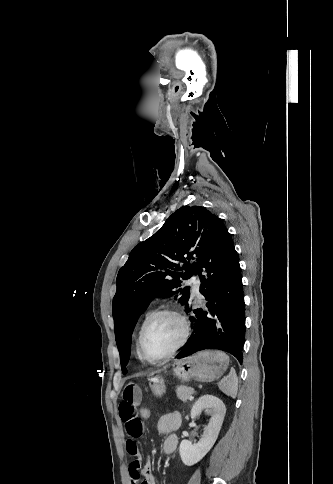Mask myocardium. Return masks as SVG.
Instances as JSON below:
<instances>
[{
  "mask_svg": "<svg viewBox=\"0 0 333 484\" xmlns=\"http://www.w3.org/2000/svg\"><path fill=\"white\" fill-rule=\"evenodd\" d=\"M162 316H173V317L177 318L182 325V330H183L182 336H181L180 340L178 341V343L169 352H167L165 355L158 357V358H151L146 354L145 349H144L145 336H146V333H147L149 327L151 326V324L156 319H158ZM190 333H191L190 321L188 320V318L182 312H180L177 309H173V308H164V309L157 310L154 313H152V315L147 319V321L144 323V325L141 329L140 336H139V342H138V350H139L140 356L142 357V359H144L145 361H147L149 363L163 362V361L169 359L170 357H172L173 355H175L185 345V343L187 342V340L190 336Z\"/></svg>",
  "mask_w": 333,
  "mask_h": 484,
  "instance_id": "myocardium-1",
  "label": "myocardium"
}]
</instances>
